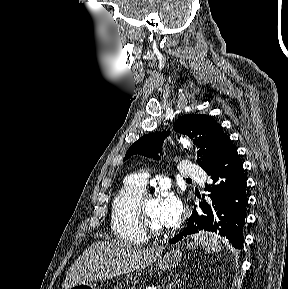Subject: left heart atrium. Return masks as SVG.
Instances as JSON below:
<instances>
[{
    "label": "left heart atrium",
    "instance_id": "left-heart-atrium-1",
    "mask_svg": "<svg viewBox=\"0 0 288 289\" xmlns=\"http://www.w3.org/2000/svg\"><path fill=\"white\" fill-rule=\"evenodd\" d=\"M160 216L164 224L173 226L178 223L182 214L181 201L172 194H166L159 199Z\"/></svg>",
    "mask_w": 288,
    "mask_h": 289
}]
</instances>
